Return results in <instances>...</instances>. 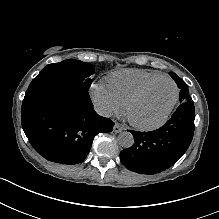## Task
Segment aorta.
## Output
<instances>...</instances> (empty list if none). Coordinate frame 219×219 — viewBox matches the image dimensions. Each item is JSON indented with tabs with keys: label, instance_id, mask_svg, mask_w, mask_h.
I'll list each match as a JSON object with an SVG mask.
<instances>
[{
	"label": "aorta",
	"instance_id": "762f6f07",
	"mask_svg": "<svg viewBox=\"0 0 219 219\" xmlns=\"http://www.w3.org/2000/svg\"><path fill=\"white\" fill-rule=\"evenodd\" d=\"M118 143L123 148H130L134 144V137L128 131L121 132L118 135Z\"/></svg>",
	"mask_w": 219,
	"mask_h": 219
}]
</instances>
